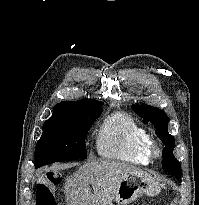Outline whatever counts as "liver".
Wrapping results in <instances>:
<instances>
[{"label":"liver","instance_id":"obj_1","mask_svg":"<svg viewBox=\"0 0 199 205\" xmlns=\"http://www.w3.org/2000/svg\"><path fill=\"white\" fill-rule=\"evenodd\" d=\"M141 173L145 172L127 163L88 162L67 178L64 186L66 202L68 205H111L120 182L129 174Z\"/></svg>","mask_w":199,"mask_h":205}]
</instances>
